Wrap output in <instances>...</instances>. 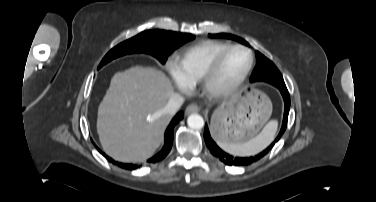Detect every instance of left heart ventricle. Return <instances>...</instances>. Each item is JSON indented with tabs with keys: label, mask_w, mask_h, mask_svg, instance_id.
Instances as JSON below:
<instances>
[{
	"label": "left heart ventricle",
	"mask_w": 376,
	"mask_h": 202,
	"mask_svg": "<svg viewBox=\"0 0 376 202\" xmlns=\"http://www.w3.org/2000/svg\"><path fill=\"white\" fill-rule=\"evenodd\" d=\"M249 63V55L244 50L232 51L224 60L216 78V85L223 87L234 82Z\"/></svg>",
	"instance_id": "b2bd125f"
}]
</instances>
